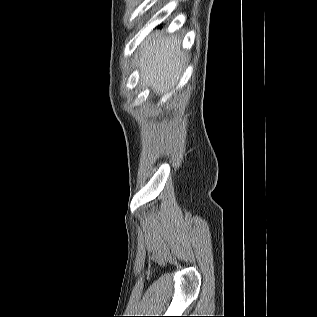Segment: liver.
Returning <instances> with one entry per match:
<instances>
[{"mask_svg":"<svg viewBox=\"0 0 317 317\" xmlns=\"http://www.w3.org/2000/svg\"><path fill=\"white\" fill-rule=\"evenodd\" d=\"M180 44L177 37L160 36L146 40L141 47L138 60L141 80L158 95L170 91L179 81L184 64Z\"/></svg>","mask_w":317,"mask_h":317,"instance_id":"liver-1","label":"liver"}]
</instances>
